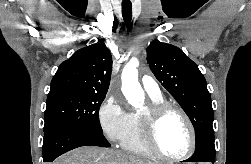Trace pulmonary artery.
Returning <instances> with one entry per match:
<instances>
[{"mask_svg":"<svg viewBox=\"0 0 251 164\" xmlns=\"http://www.w3.org/2000/svg\"><path fill=\"white\" fill-rule=\"evenodd\" d=\"M141 83L144 90L150 97H161L160 88L157 82L151 76L144 75L141 79Z\"/></svg>","mask_w":251,"mask_h":164,"instance_id":"obj_1","label":"pulmonary artery"}]
</instances>
